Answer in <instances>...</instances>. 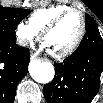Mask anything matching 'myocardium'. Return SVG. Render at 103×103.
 I'll return each instance as SVG.
<instances>
[{
  "label": "myocardium",
  "mask_w": 103,
  "mask_h": 103,
  "mask_svg": "<svg viewBox=\"0 0 103 103\" xmlns=\"http://www.w3.org/2000/svg\"><path fill=\"white\" fill-rule=\"evenodd\" d=\"M72 13H77L80 16V19H81L80 32H79L77 38L74 40V42L66 49H64L60 52L49 51L51 56H53L56 59H63V58L70 56L80 46V44L83 41L84 36L86 34V30H87V22H86L85 13L78 8H68V9L64 10L63 12H61L60 14H58L56 17H54L41 31V38L44 39L45 36L49 32H51L54 28H56L59 25V23L66 16H68L69 14H72Z\"/></svg>",
  "instance_id": "f54148a6"
}]
</instances>
